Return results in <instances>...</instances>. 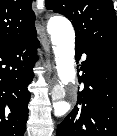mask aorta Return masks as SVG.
I'll list each match as a JSON object with an SVG mask.
<instances>
[{"mask_svg": "<svg viewBox=\"0 0 117 136\" xmlns=\"http://www.w3.org/2000/svg\"><path fill=\"white\" fill-rule=\"evenodd\" d=\"M55 55L57 75L60 86L52 92L54 103L62 110L66 105V93L63 86L75 84V32L69 20L64 17H52L47 25Z\"/></svg>", "mask_w": 117, "mask_h": 136, "instance_id": "1", "label": "aorta"}]
</instances>
